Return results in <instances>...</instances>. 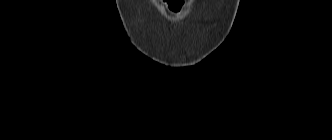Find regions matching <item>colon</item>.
Masks as SVG:
<instances>
[{"label": "colon", "mask_w": 332, "mask_h": 140, "mask_svg": "<svg viewBox=\"0 0 332 140\" xmlns=\"http://www.w3.org/2000/svg\"><path fill=\"white\" fill-rule=\"evenodd\" d=\"M169 6L174 9V10H179L182 3H183V0H165Z\"/></svg>", "instance_id": "obj_1"}]
</instances>
